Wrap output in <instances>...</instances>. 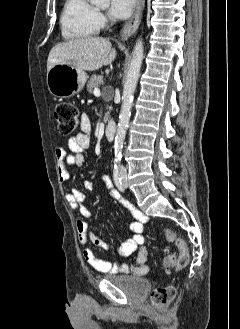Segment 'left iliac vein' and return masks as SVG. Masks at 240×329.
<instances>
[{
	"mask_svg": "<svg viewBox=\"0 0 240 329\" xmlns=\"http://www.w3.org/2000/svg\"><path fill=\"white\" fill-rule=\"evenodd\" d=\"M123 183H124V186L127 187V179L125 178V176H123Z\"/></svg>",
	"mask_w": 240,
	"mask_h": 329,
	"instance_id": "4c4485c4",
	"label": "left iliac vein"
}]
</instances>
